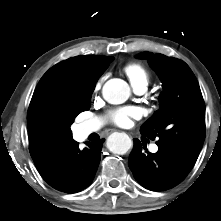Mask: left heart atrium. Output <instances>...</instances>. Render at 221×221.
I'll use <instances>...</instances> for the list:
<instances>
[{
  "instance_id": "obj_1",
  "label": "left heart atrium",
  "mask_w": 221,
  "mask_h": 221,
  "mask_svg": "<svg viewBox=\"0 0 221 221\" xmlns=\"http://www.w3.org/2000/svg\"><path fill=\"white\" fill-rule=\"evenodd\" d=\"M139 115V109L130 106L110 112V119L115 125L126 127L131 124L133 118H137Z\"/></svg>"
}]
</instances>
